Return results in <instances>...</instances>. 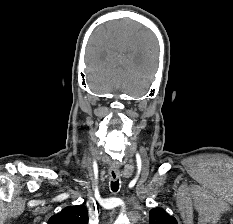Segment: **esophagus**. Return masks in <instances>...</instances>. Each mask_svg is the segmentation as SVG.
<instances>
[{"label": "esophagus", "mask_w": 233, "mask_h": 224, "mask_svg": "<svg viewBox=\"0 0 233 224\" xmlns=\"http://www.w3.org/2000/svg\"><path fill=\"white\" fill-rule=\"evenodd\" d=\"M109 175L111 180H117L120 177V173L118 170H110Z\"/></svg>", "instance_id": "obj_1"}]
</instances>
